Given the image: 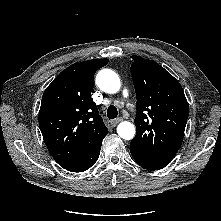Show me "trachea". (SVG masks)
Segmentation results:
<instances>
[{
	"mask_svg": "<svg viewBox=\"0 0 221 221\" xmlns=\"http://www.w3.org/2000/svg\"><path fill=\"white\" fill-rule=\"evenodd\" d=\"M118 116V110L115 106L111 105L109 106V108L107 109V117L109 119H114Z\"/></svg>",
	"mask_w": 221,
	"mask_h": 221,
	"instance_id": "1",
	"label": "trachea"
}]
</instances>
